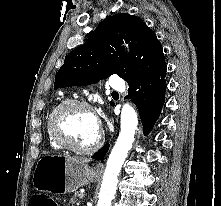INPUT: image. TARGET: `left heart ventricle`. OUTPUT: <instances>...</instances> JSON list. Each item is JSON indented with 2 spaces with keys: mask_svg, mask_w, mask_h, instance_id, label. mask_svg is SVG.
Wrapping results in <instances>:
<instances>
[{
  "mask_svg": "<svg viewBox=\"0 0 221 206\" xmlns=\"http://www.w3.org/2000/svg\"><path fill=\"white\" fill-rule=\"evenodd\" d=\"M59 128L77 147L92 145L100 130L96 116L81 107L65 110L59 119Z\"/></svg>",
  "mask_w": 221,
  "mask_h": 206,
  "instance_id": "1",
  "label": "left heart ventricle"
}]
</instances>
